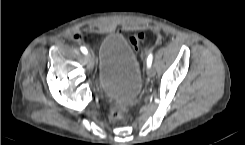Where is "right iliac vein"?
<instances>
[{
	"label": "right iliac vein",
	"instance_id": "obj_1",
	"mask_svg": "<svg viewBox=\"0 0 245 145\" xmlns=\"http://www.w3.org/2000/svg\"><path fill=\"white\" fill-rule=\"evenodd\" d=\"M86 61H87V67L90 71L94 69V58L91 54H88L86 56Z\"/></svg>",
	"mask_w": 245,
	"mask_h": 145
}]
</instances>
